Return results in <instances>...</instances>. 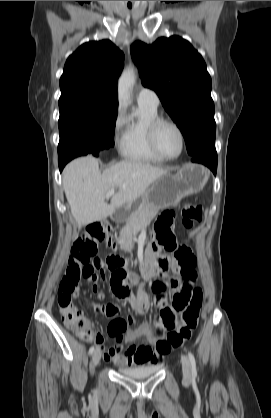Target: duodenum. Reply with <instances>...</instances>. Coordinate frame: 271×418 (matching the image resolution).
Returning <instances> with one entry per match:
<instances>
[{"mask_svg":"<svg viewBox=\"0 0 271 418\" xmlns=\"http://www.w3.org/2000/svg\"><path fill=\"white\" fill-rule=\"evenodd\" d=\"M123 218H124V213L122 211H115L112 214V219L114 221H121L123 220ZM109 262L113 268L116 266H125V261L119 257H111L109 259Z\"/></svg>","mask_w":271,"mask_h":418,"instance_id":"1","label":"duodenum"}]
</instances>
